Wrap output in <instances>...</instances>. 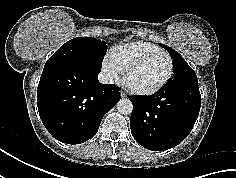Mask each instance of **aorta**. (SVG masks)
<instances>
[{
	"label": "aorta",
	"instance_id": "1",
	"mask_svg": "<svg viewBox=\"0 0 236 178\" xmlns=\"http://www.w3.org/2000/svg\"><path fill=\"white\" fill-rule=\"evenodd\" d=\"M117 110L121 114H131L133 110V104L129 99H121L117 103Z\"/></svg>",
	"mask_w": 236,
	"mask_h": 178
}]
</instances>
